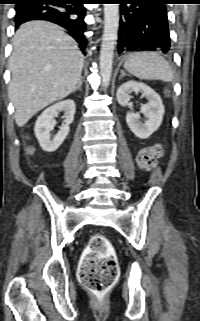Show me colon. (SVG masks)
Wrapping results in <instances>:
<instances>
[{
	"instance_id": "colon-1",
	"label": "colon",
	"mask_w": 200,
	"mask_h": 321,
	"mask_svg": "<svg viewBox=\"0 0 200 321\" xmlns=\"http://www.w3.org/2000/svg\"><path fill=\"white\" fill-rule=\"evenodd\" d=\"M162 148L154 145L143 149L138 155V165L144 171L153 169L162 156ZM118 276L115 251L103 234L91 237L79 268L82 285L96 295L106 293Z\"/></svg>"
}]
</instances>
